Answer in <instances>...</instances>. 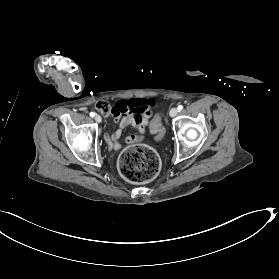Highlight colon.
Returning a JSON list of instances; mask_svg holds the SVG:
<instances>
[{"mask_svg":"<svg viewBox=\"0 0 279 279\" xmlns=\"http://www.w3.org/2000/svg\"><path fill=\"white\" fill-rule=\"evenodd\" d=\"M143 106L140 101H132L123 111H133ZM96 109L103 114H110L113 106L100 101L96 104ZM151 130L160 140L164 135V128L159 116H156L151 123ZM160 159L157 153L143 145H137L125 150L119 158V171L124 179L132 183H144L153 179L160 170Z\"/></svg>","mask_w":279,"mask_h":279,"instance_id":"colon-1","label":"colon"}]
</instances>
